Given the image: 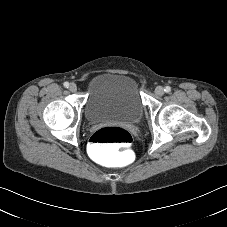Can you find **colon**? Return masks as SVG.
Wrapping results in <instances>:
<instances>
[{"mask_svg":"<svg viewBox=\"0 0 227 227\" xmlns=\"http://www.w3.org/2000/svg\"><path fill=\"white\" fill-rule=\"evenodd\" d=\"M132 144L131 133L122 127H106L90 139V151L104 165L121 163L124 153Z\"/></svg>","mask_w":227,"mask_h":227,"instance_id":"obj_1","label":"colon"}]
</instances>
